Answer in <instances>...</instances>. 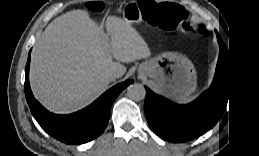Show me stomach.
Segmentation results:
<instances>
[{"mask_svg": "<svg viewBox=\"0 0 259 156\" xmlns=\"http://www.w3.org/2000/svg\"><path fill=\"white\" fill-rule=\"evenodd\" d=\"M124 19L137 22L130 5L124 9ZM152 85L168 98L176 101L187 97L196 88V71L192 62L184 55L164 52L145 62L143 71Z\"/></svg>", "mask_w": 259, "mask_h": 156, "instance_id": "obj_1", "label": "stomach"}]
</instances>
